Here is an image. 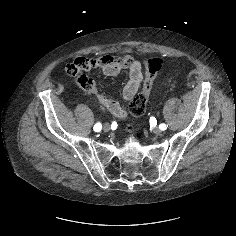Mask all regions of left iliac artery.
Instances as JSON below:
<instances>
[{
  "label": "left iliac artery",
  "instance_id": "1",
  "mask_svg": "<svg viewBox=\"0 0 236 236\" xmlns=\"http://www.w3.org/2000/svg\"><path fill=\"white\" fill-rule=\"evenodd\" d=\"M167 127H168V126H167L166 124H164V123H162V124L159 125V128H160L161 130H163V131L166 130Z\"/></svg>",
  "mask_w": 236,
  "mask_h": 236
}]
</instances>
